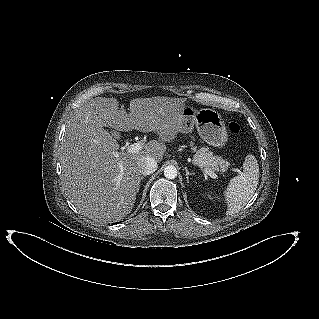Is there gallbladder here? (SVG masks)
Listing matches in <instances>:
<instances>
[{
	"label": "gallbladder",
	"instance_id": "obj_1",
	"mask_svg": "<svg viewBox=\"0 0 319 319\" xmlns=\"http://www.w3.org/2000/svg\"><path fill=\"white\" fill-rule=\"evenodd\" d=\"M112 135H113L115 138H118V133H117V132H112Z\"/></svg>",
	"mask_w": 319,
	"mask_h": 319
}]
</instances>
